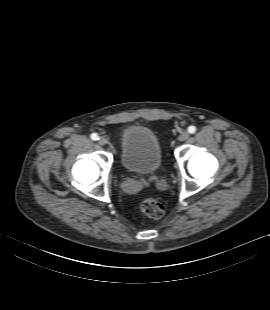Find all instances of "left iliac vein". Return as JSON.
<instances>
[{
	"mask_svg": "<svg viewBox=\"0 0 270 310\" xmlns=\"http://www.w3.org/2000/svg\"><path fill=\"white\" fill-rule=\"evenodd\" d=\"M189 138V133L187 131H183L178 136V141L183 142L186 141Z\"/></svg>",
	"mask_w": 270,
	"mask_h": 310,
	"instance_id": "obj_1",
	"label": "left iliac vein"
}]
</instances>
